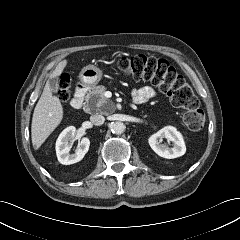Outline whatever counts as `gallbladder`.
Returning <instances> with one entry per match:
<instances>
[{
	"label": "gallbladder",
	"mask_w": 240,
	"mask_h": 240,
	"mask_svg": "<svg viewBox=\"0 0 240 240\" xmlns=\"http://www.w3.org/2000/svg\"><path fill=\"white\" fill-rule=\"evenodd\" d=\"M49 86H50L51 91L53 93H56L57 90H58V86H59L58 79L57 78H51L49 80Z\"/></svg>",
	"instance_id": "obj_1"
}]
</instances>
